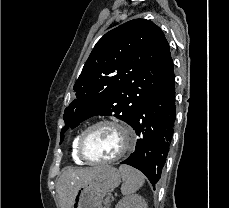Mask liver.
<instances>
[{
    "label": "liver",
    "mask_w": 229,
    "mask_h": 208,
    "mask_svg": "<svg viewBox=\"0 0 229 208\" xmlns=\"http://www.w3.org/2000/svg\"><path fill=\"white\" fill-rule=\"evenodd\" d=\"M104 166H95V168H64L60 178L57 180V194L60 198L61 208H72L74 196L78 188L91 182L103 172Z\"/></svg>",
    "instance_id": "liver-1"
}]
</instances>
